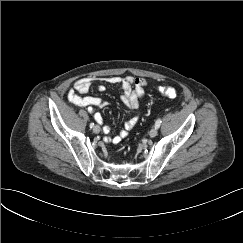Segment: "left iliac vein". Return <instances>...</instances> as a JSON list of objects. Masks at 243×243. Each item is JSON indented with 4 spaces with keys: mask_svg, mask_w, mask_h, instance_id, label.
<instances>
[{
    "mask_svg": "<svg viewBox=\"0 0 243 243\" xmlns=\"http://www.w3.org/2000/svg\"><path fill=\"white\" fill-rule=\"evenodd\" d=\"M158 134L157 128H152L149 132L150 137H155Z\"/></svg>",
    "mask_w": 243,
    "mask_h": 243,
    "instance_id": "4c4485c4",
    "label": "left iliac vein"
}]
</instances>
